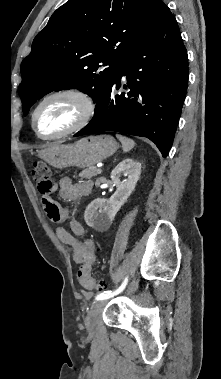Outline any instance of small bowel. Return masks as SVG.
<instances>
[{"label":"small bowel","instance_id":"obj_1","mask_svg":"<svg viewBox=\"0 0 221 379\" xmlns=\"http://www.w3.org/2000/svg\"><path fill=\"white\" fill-rule=\"evenodd\" d=\"M60 195L64 200L71 201L87 196L92 187L89 180L81 183H73L70 177H62L58 183ZM57 187L53 184L51 191L42 195V201L48 219L55 223H60L69 219L67 210L62 209L50 195L56 191ZM88 234L87 229L77 220H69V229L64 226H59L56 229V235L59 240L71 249L73 260L76 263H82L85 255V247L78 241V237H84Z\"/></svg>","mask_w":221,"mask_h":379}]
</instances>
